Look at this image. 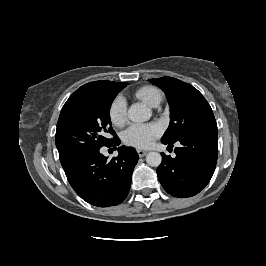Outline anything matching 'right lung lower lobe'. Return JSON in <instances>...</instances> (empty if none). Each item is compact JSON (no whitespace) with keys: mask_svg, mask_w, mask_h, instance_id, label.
Returning <instances> with one entry per match:
<instances>
[{"mask_svg":"<svg viewBox=\"0 0 266 266\" xmlns=\"http://www.w3.org/2000/svg\"><path fill=\"white\" fill-rule=\"evenodd\" d=\"M120 142L117 137L107 147L117 149ZM118 152L117 157L108 161L97 150L64 170L70 185L83 200L98 207L115 206L125 200L139 156L134 149L124 146L119 147Z\"/></svg>","mask_w":266,"mask_h":266,"instance_id":"1","label":"right lung lower lobe"}]
</instances>
